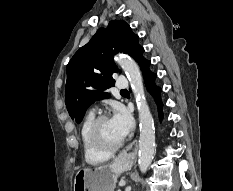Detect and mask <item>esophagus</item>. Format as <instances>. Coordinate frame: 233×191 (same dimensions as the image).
I'll return each mask as SVG.
<instances>
[{
	"mask_svg": "<svg viewBox=\"0 0 233 191\" xmlns=\"http://www.w3.org/2000/svg\"><path fill=\"white\" fill-rule=\"evenodd\" d=\"M137 141L134 140L116 158V162L129 163L136 157Z\"/></svg>",
	"mask_w": 233,
	"mask_h": 191,
	"instance_id": "1",
	"label": "esophagus"
}]
</instances>
